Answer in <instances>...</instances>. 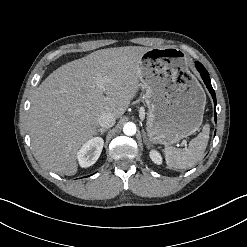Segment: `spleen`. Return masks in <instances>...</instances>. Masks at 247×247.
<instances>
[{
    "label": "spleen",
    "mask_w": 247,
    "mask_h": 247,
    "mask_svg": "<svg viewBox=\"0 0 247 247\" xmlns=\"http://www.w3.org/2000/svg\"><path fill=\"white\" fill-rule=\"evenodd\" d=\"M210 127L203 126V130L197 137L189 142L188 148L178 149L168 146L164 149L166 163L173 169H186L196 164L203 156L209 141Z\"/></svg>",
    "instance_id": "spleen-1"
}]
</instances>
